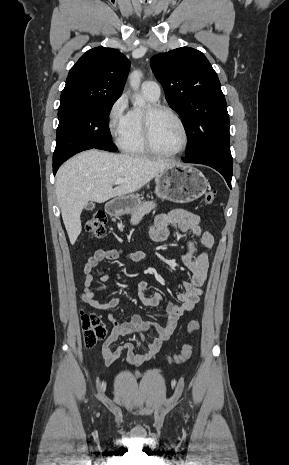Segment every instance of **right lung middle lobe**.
Masks as SVG:
<instances>
[{
  "label": "right lung middle lobe",
  "instance_id": "right-lung-middle-lobe-1",
  "mask_svg": "<svg viewBox=\"0 0 289 465\" xmlns=\"http://www.w3.org/2000/svg\"><path fill=\"white\" fill-rule=\"evenodd\" d=\"M117 99L84 107L58 109L56 148L53 162L92 148L115 151L110 137L108 115Z\"/></svg>",
  "mask_w": 289,
  "mask_h": 465
}]
</instances>
